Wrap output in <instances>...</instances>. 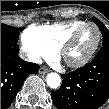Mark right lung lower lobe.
Segmentation results:
<instances>
[{
  "mask_svg": "<svg viewBox=\"0 0 109 109\" xmlns=\"http://www.w3.org/2000/svg\"><path fill=\"white\" fill-rule=\"evenodd\" d=\"M18 52L17 44L1 39V109L12 103L26 77L40 68L38 64L22 60Z\"/></svg>",
  "mask_w": 109,
  "mask_h": 109,
  "instance_id": "right-lung-lower-lobe-1",
  "label": "right lung lower lobe"
}]
</instances>
